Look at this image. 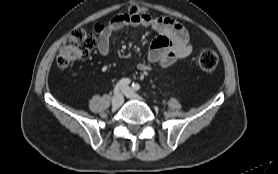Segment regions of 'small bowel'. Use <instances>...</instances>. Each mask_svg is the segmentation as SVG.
<instances>
[{
  "instance_id": "1",
  "label": "small bowel",
  "mask_w": 278,
  "mask_h": 174,
  "mask_svg": "<svg viewBox=\"0 0 278 174\" xmlns=\"http://www.w3.org/2000/svg\"><path fill=\"white\" fill-rule=\"evenodd\" d=\"M125 27H147L156 32L157 36L151 42L148 58L151 63L162 68L171 67L177 60L188 57L192 52L188 32L184 26L173 18L151 16L143 12L119 14L110 20L98 34L97 49L101 56L109 55L112 36ZM138 69L147 72L150 66L139 64Z\"/></svg>"
}]
</instances>
